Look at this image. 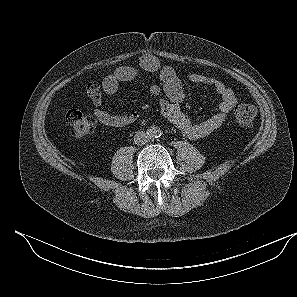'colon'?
Returning <instances> with one entry per match:
<instances>
[{
    "mask_svg": "<svg viewBox=\"0 0 297 297\" xmlns=\"http://www.w3.org/2000/svg\"><path fill=\"white\" fill-rule=\"evenodd\" d=\"M233 116L238 125L246 127L254 122L257 108L250 103H239L234 107ZM66 120L71 126V135L75 139L90 136L97 129V123L91 116L75 109L67 112Z\"/></svg>",
    "mask_w": 297,
    "mask_h": 297,
    "instance_id": "obj_1",
    "label": "colon"
}]
</instances>
